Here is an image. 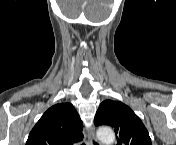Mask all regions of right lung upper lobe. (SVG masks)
<instances>
[{
	"label": "right lung upper lobe",
	"instance_id": "right-lung-upper-lobe-1",
	"mask_svg": "<svg viewBox=\"0 0 176 145\" xmlns=\"http://www.w3.org/2000/svg\"><path fill=\"white\" fill-rule=\"evenodd\" d=\"M82 140V121L75 108L70 103H59L43 114L26 145H73Z\"/></svg>",
	"mask_w": 176,
	"mask_h": 145
}]
</instances>
